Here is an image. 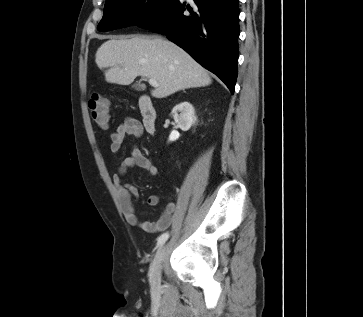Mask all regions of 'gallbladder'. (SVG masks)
Listing matches in <instances>:
<instances>
[{"mask_svg": "<svg viewBox=\"0 0 363 317\" xmlns=\"http://www.w3.org/2000/svg\"><path fill=\"white\" fill-rule=\"evenodd\" d=\"M133 88L137 91H142L144 90V86L142 84H135L133 85Z\"/></svg>", "mask_w": 363, "mask_h": 317, "instance_id": "obj_1", "label": "gallbladder"}]
</instances>
